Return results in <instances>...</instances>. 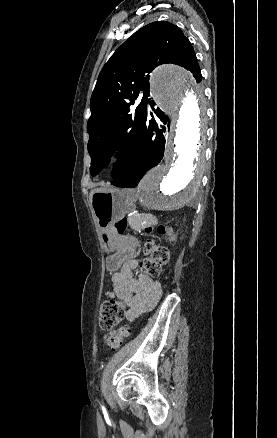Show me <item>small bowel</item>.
Wrapping results in <instances>:
<instances>
[{"mask_svg": "<svg viewBox=\"0 0 277 438\" xmlns=\"http://www.w3.org/2000/svg\"><path fill=\"white\" fill-rule=\"evenodd\" d=\"M137 252L129 246L119 272L112 277L110 297L122 300L128 307L126 318L133 321L142 313L153 309L161 291L151 277L138 271Z\"/></svg>", "mask_w": 277, "mask_h": 438, "instance_id": "c3829d8e", "label": "small bowel"}]
</instances>
